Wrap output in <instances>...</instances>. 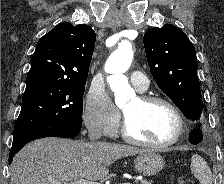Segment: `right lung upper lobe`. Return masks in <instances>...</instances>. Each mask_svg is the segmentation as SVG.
<instances>
[{
	"label": "right lung upper lobe",
	"instance_id": "right-lung-upper-lobe-1",
	"mask_svg": "<svg viewBox=\"0 0 224 184\" xmlns=\"http://www.w3.org/2000/svg\"><path fill=\"white\" fill-rule=\"evenodd\" d=\"M96 34L86 25L61 23L37 43L27 84L35 82L86 83Z\"/></svg>",
	"mask_w": 224,
	"mask_h": 184
}]
</instances>
